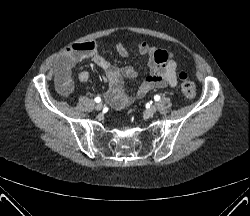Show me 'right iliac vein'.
Here are the masks:
<instances>
[{
    "label": "right iliac vein",
    "mask_w": 250,
    "mask_h": 216,
    "mask_svg": "<svg viewBox=\"0 0 250 216\" xmlns=\"http://www.w3.org/2000/svg\"><path fill=\"white\" fill-rule=\"evenodd\" d=\"M102 108H103L102 103H98V104L95 105V109H96L97 111L102 110Z\"/></svg>",
    "instance_id": "1"
}]
</instances>
